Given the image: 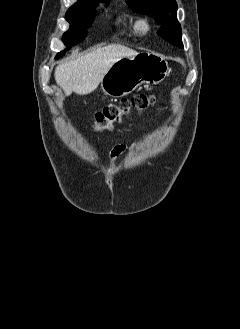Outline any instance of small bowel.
<instances>
[{"instance_id": "1", "label": "small bowel", "mask_w": 240, "mask_h": 329, "mask_svg": "<svg viewBox=\"0 0 240 329\" xmlns=\"http://www.w3.org/2000/svg\"><path fill=\"white\" fill-rule=\"evenodd\" d=\"M133 147L127 145V144H117L115 145L110 153H109V157H108V161L106 163V170L108 171V173L112 174L114 169H113V162L115 159H117L121 154H123L125 151H127L128 149H132Z\"/></svg>"}]
</instances>
